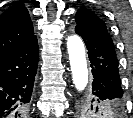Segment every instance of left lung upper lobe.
<instances>
[{"instance_id": "obj_1", "label": "left lung upper lobe", "mask_w": 133, "mask_h": 118, "mask_svg": "<svg viewBox=\"0 0 133 118\" xmlns=\"http://www.w3.org/2000/svg\"><path fill=\"white\" fill-rule=\"evenodd\" d=\"M75 20L77 24L76 27H81L96 36L111 39L105 22L101 20L90 9H79L76 13ZM122 103L123 101L119 102L115 100H105L102 102H97L96 100H94V97L90 93V91H88L80 95V97L78 98L77 110L79 111L81 116H92L95 114L103 115V113L107 114L119 111Z\"/></svg>"}]
</instances>
